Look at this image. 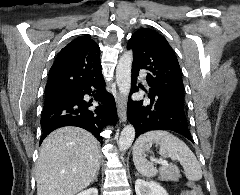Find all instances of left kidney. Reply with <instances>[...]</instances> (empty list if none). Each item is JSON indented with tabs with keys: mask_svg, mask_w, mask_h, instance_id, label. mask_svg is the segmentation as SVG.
Instances as JSON below:
<instances>
[{
	"mask_svg": "<svg viewBox=\"0 0 240 195\" xmlns=\"http://www.w3.org/2000/svg\"><path fill=\"white\" fill-rule=\"evenodd\" d=\"M136 195H169L165 187H162L157 181H145V179H136Z\"/></svg>",
	"mask_w": 240,
	"mask_h": 195,
	"instance_id": "left-kidney-1",
	"label": "left kidney"
}]
</instances>
